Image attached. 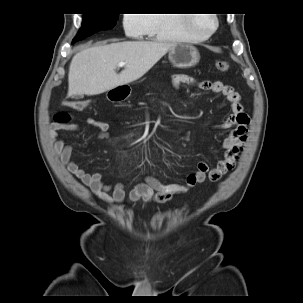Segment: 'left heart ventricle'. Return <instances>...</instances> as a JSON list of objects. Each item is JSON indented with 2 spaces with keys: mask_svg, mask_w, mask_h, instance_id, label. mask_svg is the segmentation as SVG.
<instances>
[{
  "mask_svg": "<svg viewBox=\"0 0 303 303\" xmlns=\"http://www.w3.org/2000/svg\"><path fill=\"white\" fill-rule=\"evenodd\" d=\"M205 16H197V19L193 25L194 29L199 33H207L213 27V20L211 16L207 14H199Z\"/></svg>",
  "mask_w": 303,
  "mask_h": 303,
  "instance_id": "b2bd125f",
  "label": "left heart ventricle"
}]
</instances>
